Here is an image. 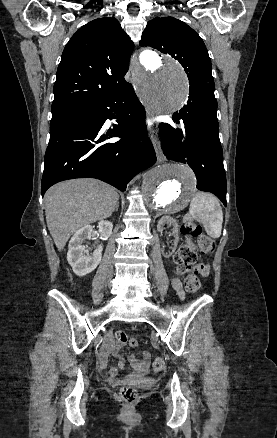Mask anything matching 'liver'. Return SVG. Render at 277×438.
<instances>
[{
    "label": "liver",
    "instance_id": "obj_1",
    "mask_svg": "<svg viewBox=\"0 0 277 438\" xmlns=\"http://www.w3.org/2000/svg\"><path fill=\"white\" fill-rule=\"evenodd\" d=\"M47 228L59 252L70 236L97 220H106L116 208L119 196L99 180H66L52 186L45 194Z\"/></svg>",
    "mask_w": 277,
    "mask_h": 438
}]
</instances>
